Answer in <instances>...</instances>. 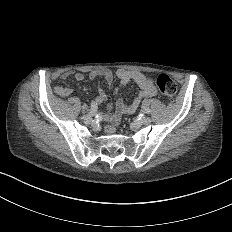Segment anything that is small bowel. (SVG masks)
Masks as SVG:
<instances>
[{"label": "small bowel", "mask_w": 232, "mask_h": 232, "mask_svg": "<svg viewBox=\"0 0 232 232\" xmlns=\"http://www.w3.org/2000/svg\"><path fill=\"white\" fill-rule=\"evenodd\" d=\"M90 76L103 77L107 82L111 83L114 77L117 76L120 79V85H125L131 81L135 82L140 88V93L136 95L129 105H125L122 98L119 99L117 110L114 115L107 113L104 117L109 122V125L103 129L105 134L113 135L117 132L116 124L122 114H129L133 112L141 101V97H156L158 95L157 90L152 86L153 77L134 69H117L113 71L111 69H95L90 71ZM60 78L62 80H68L73 78L76 81H82L84 76L81 72H75L73 70H66L61 73ZM120 85L113 88V94H117L120 91ZM57 91L62 93H70L72 88L70 86H60L56 88ZM106 100V91L103 86H99L97 101L103 103ZM110 108L111 106L108 105Z\"/></svg>", "instance_id": "c3829d8e"}]
</instances>
